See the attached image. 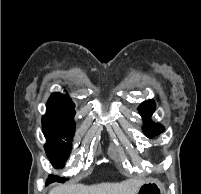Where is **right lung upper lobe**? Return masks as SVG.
Wrapping results in <instances>:
<instances>
[{"label": "right lung upper lobe", "instance_id": "obj_1", "mask_svg": "<svg viewBox=\"0 0 201 194\" xmlns=\"http://www.w3.org/2000/svg\"><path fill=\"white\" fill-rule=\"evenodd\" d=\"M46 106L47 108L58 109L72 118L75 115V104L71 101V98L68 95L53 93Z\"/></svg>", "mask_w": 201, "mask_h": 194}]
</instances>
